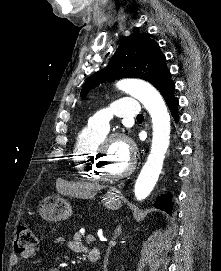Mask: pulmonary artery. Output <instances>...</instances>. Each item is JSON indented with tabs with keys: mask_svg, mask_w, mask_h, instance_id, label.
Masks as SVG:
<instances>
[{
	"mask_svg": "<svg viewBox=\"0 0 221 271\" xmlns=\"http://www.w3.org/2000/svg\"><path fill=\"white\" fill-rule=\"evenodd\" d=\"M118 107H102V112H96L91 117L87 127H110V122H118V117H138L141 111L135 98H119ZM116 106V103H113ZM116 113V116H113ZM109 128H80L78 138H99V133H109Z\"/></svg>",
	"mask_w": 221,
	"mask_h": 271,
	"instance_id": "e3ab8cb5",
	"label": "pulmonary artery"
}]
</instances>
